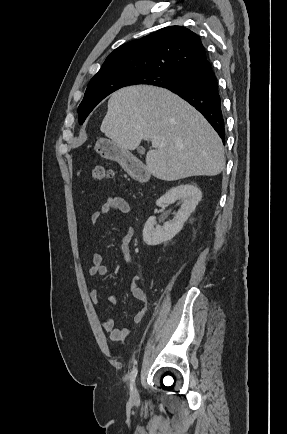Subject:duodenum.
<instances>
[{
    "mask_svg": "<svg viewBox=\"0 0 287 434\" xmlns=\"http://www.w3.org/2000/svg\"><path fill=\"white\" fill-rule=\"evenodd\" d=\"M123 161L133 178L138 181L146 180L147 171L141 165H139L132 157L126 156L124 157Z\"/></svg>",
    "mask_w": 287,
    "mask_h": 434,
    "instance_id": "duodenum-1",
    "label": "duodenum"
}]
</instances>
